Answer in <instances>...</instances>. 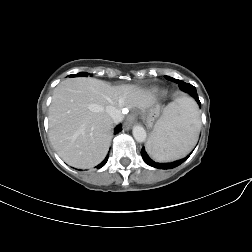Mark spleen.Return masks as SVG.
<instances>
[{
	"instance_id": "obj_1",
	"label": "spleen",
	"mask_w": 252,
	"mask_h": 252,
	"mask_svg": "<svg viewBox=\"0 0 252 252\" xmlns=\"http://www.w3.org/2000/svg\"><path fill=\"white\" fill-rule=\"evenodd\" d=\"M200 128L195 102L177 98L156 122L146 144L149 155L159 162H170L187 155L197 141Z\"/></svg>"
}]
</instances>
